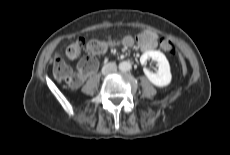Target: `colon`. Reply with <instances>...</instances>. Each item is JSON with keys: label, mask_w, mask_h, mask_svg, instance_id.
Masks as SVG:
<instances>
[{"label": "colon", "mask_w": 230, "mask_h": 155, "mask_svg": "<svg viewBox=\"0 0 230 155\" xmlns=\"http://www.w3.org/2000/svg\"><path fill=\"white\" fill-rule=\"evenodd\" d=\"M135 41H143L142 37H128L125 39L126 44H132ZM160 46L172 57H176L178 52L174 43L167 37L160 38ZM84 48L81 40L69 44L64 51L65 57L69 60H76L80 57ZM87 55L80 63V71L83 74L93 72L97 67L96 57L103 54L107 49V44L100 40H91L85 46ZM52 72L56 79L63 81L67 87L73 88L79 84V78L72 75L71 68L59 56L53 60Z\"/></svg>", "instance_id": "obj_1"}]
</instances>
